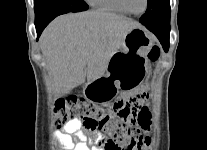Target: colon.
Instances as JSON below:
<instances>
[{"mask_svg": "<svg viewBox=\"0 0 207 150\" xmlns=\"http://www.w3.org/2000/svg\"><path fill=\"white\" fill-rule=\"evenodd\" d=\"M161 54L154 46L149 54L155 62ZM146 94L139 92L104 105L85 98L69 96L60 99L54 108V123L61 126L72 119L81 120L87 132H97L104 140L97 142L103 150H148L150 141L142 132H151V108L145 107ZM148 111H145V110ZM134 125H141L136 128Z\"/></svg>", "mask_w": 207, "mask_h": 150, "instance_id": "colon-1", "label": "colon"}]
</instances>
